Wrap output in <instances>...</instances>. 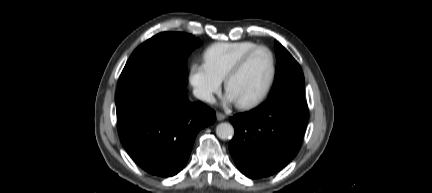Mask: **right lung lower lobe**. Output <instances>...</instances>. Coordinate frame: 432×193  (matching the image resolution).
Instances as JSON below:
<instances>
[{
  "label": "right lung lower lobe",
  "mask_w": 432,
  "mask_h": 193,
  "mask_svg": "<svg viewBox=\"0 0 432 193\" xmlns=\"http://www.w3.org/2000/svg\"><path fill=\"white\" fill-rule=\"evenodd\" d=\"M117 125L131 158L145 171L176 175L186 164L197 133L215 112L191 102L186 91L159 79H142L116 93Z\"/></svg>",
  "instance_id": "98d812e1"
}]
</instances>
